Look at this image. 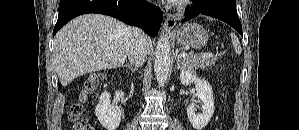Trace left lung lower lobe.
I'll return each instance as SVG.
<instances>
[{"label": "left lung lower lobe", "mask_w": 299, "mask_h": 130, "mask_svg": "<svg viewBox=\"0 0 299 130\" xmlns=\"http://www.w3.org/2000/svg\"><path fill=\"white\" fill-rule=\"evenodd\" d=\"M235 0H193V5L186 8L187 16L182 22L188 21L199 14L208 15L220 19L242 35V26L236 12Z\"/></svg>", "instance_id": "obj_1"}]
</instances>
